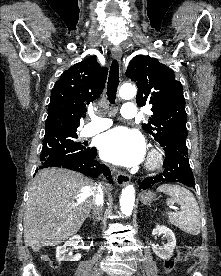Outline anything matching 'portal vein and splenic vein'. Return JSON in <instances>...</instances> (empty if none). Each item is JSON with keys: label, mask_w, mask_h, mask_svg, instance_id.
I'll return each mask as SVG.
<instances>
[{"label": "portal vein and splenic vein", "mask_w": 221, "mask_h": 276, "mask_svg": "<svg viewBox=\"0 0 221 276\" xmlns=\"http://www.w3.org/2000/svg\"><path fill=\"white\" fill-rule=\"evenodd\" d=\"M171 208H173V209L177 210V208H176V207H174V206H171Z\"/></svg>", "instance_id": "portal-vein-and-splenic-vein-1"}]
</instances>
